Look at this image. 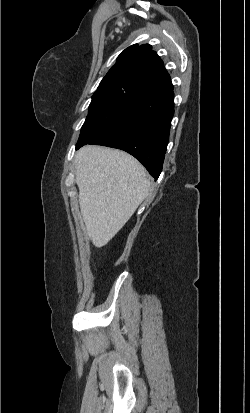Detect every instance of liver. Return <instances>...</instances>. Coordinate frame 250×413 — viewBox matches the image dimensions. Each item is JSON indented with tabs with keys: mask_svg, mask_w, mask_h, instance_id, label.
<instances>
[{
	"mask_svg": "<svg viewBox=\"0 0 250 413\" xmlns=\"http://www.w3.org/2000/svg\"><path fill=\"white\" fill-rule=\"evenodd\" d=\"M79 206L92 244L105 246L147 197L145 168L130 154L84 146L75 155Z\"/></svg>",
	"mask_w": 250,
	"mask_h": 413,
	"instance_id": "6515ba94",
	"label": "liver"
}]
</instances>
